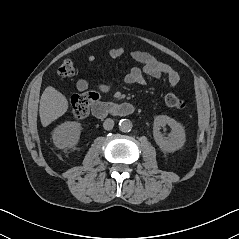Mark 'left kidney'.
Here are the masks:
<instances>
[{"instance_id": "5707ae66", "label": "left kidney", "mask_w": 239, "mask_h": 239, "mask_svg": "<svg viewBox=\"0 0 239 239\" xmlns=\"http://www.w3.org/2000/svg\"><path fill=\"white\" fill-rule=\"evenodd\" d=\"M166 125L172 130L169 137H164L160 131L161 127H165ZM153 137L156 144L164 152H175L181 149L186 141L183 126L173 118L166 115H159L154 118Z\"/></svg>"}]
</instances>
